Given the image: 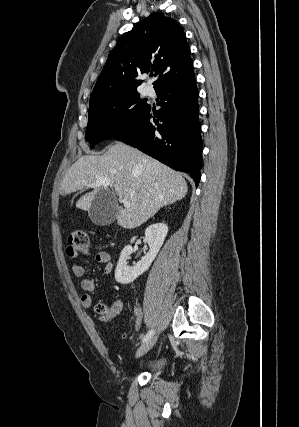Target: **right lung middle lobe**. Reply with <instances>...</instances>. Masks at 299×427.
Masks as SVG:
<instances>
[{"label":"right lung middle lobe","mask_w":299,"mask_h":427,"mask_svg":"<svg viewBox=\"0 0 299 427\" xmlns=\"http://www.w3.org/2000/svg\"><path fill=\"white\" fill-rule=\"evenodd\" d=\"M149 107L137 91L89 104L86 139L94 147L95 143L126 132L141 120Z\"/></svg>","instance_id":"dd1d6c3e"}]
</instances>
